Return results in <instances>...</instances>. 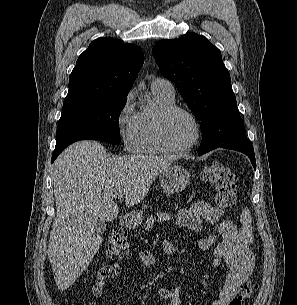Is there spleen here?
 Here are the masks:
<instances>
[{
  "label": "spleen",
  "mask_w": 297,
  "mask_h": 305,
  "mask_svg": "<svg viewBox=\"0 0 297 305\" xmlns=\"http://www.w3.org/2000/svg\"><path fill=\"white\" fill-rule=\"evenodd\" d=\"M240 222L242 224V233L244 235H251L252 234V227H251V215L250 211L245 208L241 215H240Z\"/></svg>",
  "instance_id": "1"
}]
</instances>
